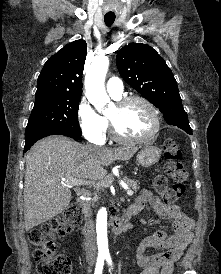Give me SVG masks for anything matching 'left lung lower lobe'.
Instances as JSON below:
<instances>
[{"mask_svg": "<svg viewBox=\"0 0 221 274\" xmlns=\"http://www.w3.org/2000/svg\"><path fill=\"white\" fill-rule=\"evenodd\" d=\"M173 113H175V112H173ZM177 113H179L180 115H182V117H186V116H185V115H186V112L184 111L183 108H180V109L178 110ZM169 115H171V114H169ZM171 117L173 118V117H176V116H173V115H172ZM169 118H170V117H169ZM169 118H166V119H165L166 122H167L169 125L177 126V127L181 128V129H183V130H184L185 132H187L188 134H190V135L192 134V130H191L190 126H189V121L183 120L182 123L176 124L174 121H172V122L168 121Z\"/></svg>", "mask_w": 221, "mask_h": 274, "instance_id": "0a47b994", "label": "left lung lower lobe"}]
</instances>
